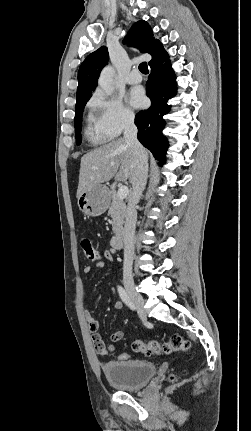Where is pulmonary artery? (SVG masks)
<instances>
[{"instance_id": "pulmonary-artery-1", "label": "pulmonary artery", "mask_w": 251, "mask_h": 431, "mask_svg": "<svg viewBox=\"0 0 251 431\" xmlns=\"http://www.w3.org/2000/svg\"><path fill=\"white\" fill-rule=\"evenodd\" d=\"M125 80L128 84H137V83L141 82L142 77H141L140 73L138 72V70L134 69L126 75Z\"/></svg>"}]
</instances>
